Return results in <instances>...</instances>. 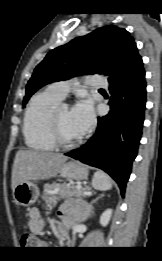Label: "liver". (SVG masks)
<instances>
[{
	"label": "liver",
	"instance_id": "6515ba94",
	"mask_svg": "<svg viewBox=\"0 0 162 261\" xmlns=\"http://www.w3.org/2000/svg\"><path fill=\"white\" fill-rule=\"evenodd\" d=\"M63 154L19 150L12 168V190L23 182L45 180L57 175L61 166L67 161Z\"/></svg>",
	"mask_w": 162,
	"mask_h": 261
}]
</instances>
